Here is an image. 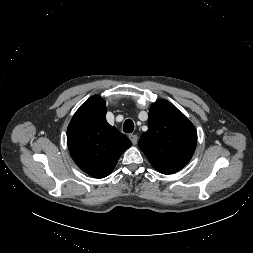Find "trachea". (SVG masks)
Wrapping results in <instances>:
<instances>
[{
  "instance_id": "trachea-1",
  "label": "trachea",
  "mask_w": 253,
  "mask_h": 253,
  "mask_svg": "<svg viewBox=\"0 0 253 253\" xmlns=\"http://www.w3.org/2000/svg\"><path fill=\"white\" fill-rule=\"evenodd\" d=\"M134 130V123L131 119H127L123 125V131L126 133H132Z\"/></svg>"
}]
</instances>
